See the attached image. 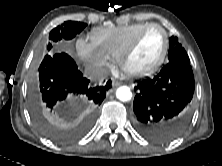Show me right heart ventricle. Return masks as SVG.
Returning <instances> with one entry per match:
<instances>
[{"label": "right heart ventricle", "mask_w": 222, "mask_h": 166, "mask_svg": "<svg viewBox=\"0 0 222 166\" xmlns=\"http://www.w3.org/2000/svg\"><path fill=\"white\" fill-rule=\"evenodd\" d=\"M149 23H134L120 27L98 28L91 33V42L106 56L118 59L133 37Z\"/></svg>", "instance_id": "1"}]
</instances>
